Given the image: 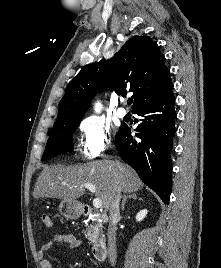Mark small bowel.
Returning a JSON list of instances; mask_svg holds the SVG:
<instances>
[{"label":"small bowel","instance_id":"small-bowel-1","mask_svg":"<svg viewBox=\"0 0 221 268\" xmlns=\"http://www.w3.org/2000/svg\"><path fill=\"white\" fill-rule=\"evenodd\" d=\"M57 244H65L71 248H79L81 241L73 234L67 232H58L52 236L50 241L43 244L37 251V256L40 260V268H52L51 262L45 258L46 253Z\"/></svg>","mask_w":221,"mask_h":268}]
</instances>
